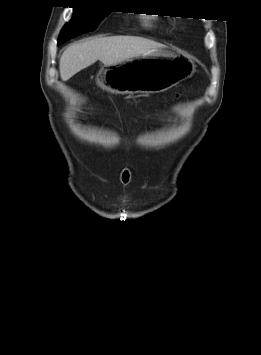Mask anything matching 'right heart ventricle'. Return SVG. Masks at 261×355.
<instances>
[{
  "instance_id": "1",
  "label": "right heart ventricle",
  "mask_w": 261,
  "mask_h": 355,
  "mask_svg": "<svg viewBox=\"0 0 261 355\" xmlns=\"http://www.w3.org/2000/svg\"><path fill=\"white\" fill-rule=\"evenodd\" d=\"M145 22H146L147 25H149V23H151V20L150 19H146Z\"/></svg>"
}]
</instances>
